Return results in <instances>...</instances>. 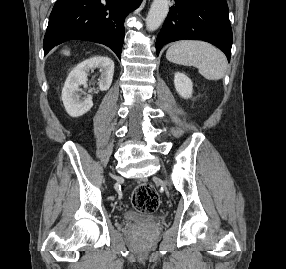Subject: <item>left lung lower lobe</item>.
<instances>
[{
  "instance_id": "obj_1",
  "label": "left lung lower lobe",
  "mask_w": 286,
  "mask_h": 269,
  "mask_svg": "<svg viewBox=\"0 0 286 269\" xmlns=\"http://www.w3.org/2000/svg\"><path fill=\"white\" fill-rule=\"evenodd\" d=\"M156 40L163 45L182 39L207 41L221 49L230 61L232 29L226 0H174Z\"/></svg>"
}]
</instances>
